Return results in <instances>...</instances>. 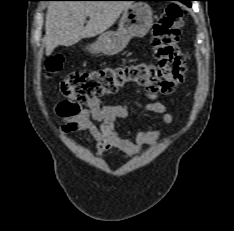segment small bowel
<instances>
[{"mask_svg":"<svg viewBox=\"0 0 234 231\" xmlns=\"http://www.w3.org/2000/svg\"><path fill=\"white\" fill-rule=\"evenodd\" d=\"M131 92L145 97L148 101L146 103L111 105L96 99L71 115L63 114L61 107L58 106L57 111L61 116V131L65 134L88 132L95 141L97 156L113 154L116 151L130 156L146 147L155 145L161 136L159 130L139 132L135 140L119 136L117 123L128 117L132 108L139 112L162 114L167 125L172 122L171 115L166 111V105L158 100L156 93L139 88H134Z\"/></svg>","mask_w":234,"mask_h":231,"instance_id":"c3829d8e","label":"small bowel"}]
</instances>
